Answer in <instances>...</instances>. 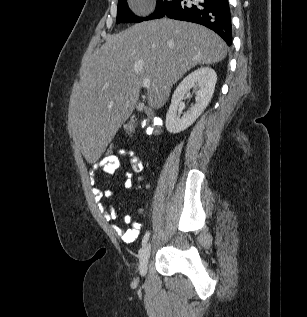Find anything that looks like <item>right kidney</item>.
Returning <instances> with one entry per match:
<instances>
[{
	"label": "right kidney",
	"instance_id": "1",
	"mask_svg": "<svg viewBox=\"0 0 307 317\" xmlns=\"http://www.w3.org/2000/svg\"><path fill=\"white\" fill-rule=\"evenodd\" d=\"M216 82V72L210 67L199 68L183 79L174 91L171 105L166 114L165 126L168 132L179 133L196 121L211 101ZM191 88L198 89L195 104L183 116H180L178 107Z\"/></svg>",
	"mask_w": 307,
	"mask_h": 317
}]
</instances>
